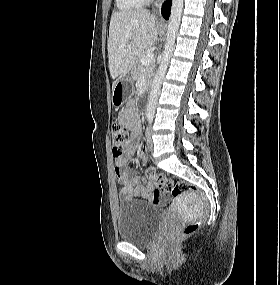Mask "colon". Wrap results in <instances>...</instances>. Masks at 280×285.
Listing matches in <instances>:
<instances>
[{"label": "colon", "mask_w": 280, "mask_h": 285, "mask_svg": "<svg viewBox=\"0 0 280 285\" xmlns=\"http://www.w3.org/2000/svg\"><path fill=\"white\" fill-rule=\"evenodd\" d=\"M111 136L113 141V154L115 157H119L123 148L129 141L128 130L120 123L115 122L111 126ZM147 178L153 183L158 192L163 191L171 196H177L181 193L191 192L199 200L201 206L204 209V213L207 212L209 207V201L206 195L199 190V188L190 183H172L169 179L161 174H157L153 169L148 168L145 171ZM201 225V220L188 223L184 226L182 231L176 236L175 240H182L192 235Z\"/></svg>", "instance_id": "1"}]
</instances>
